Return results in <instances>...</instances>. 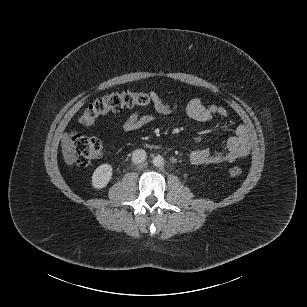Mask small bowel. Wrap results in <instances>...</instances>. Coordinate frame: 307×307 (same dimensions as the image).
Segmentation results:
<instances>
[{
  "instance_id": "obj_1",
  "label": "small bowel",
  "mask_w": 307,
  "mask_h": 307,
  "mask_svg": "<svg viewBox=\"0 0 307 307\" xmlns=\"http://www.w3.org/2000/svg\"><path fill=\"white\" fill-rule=\"evenodd\" d=\"M155 102L156 113L168 115L172 109L162 102L154 91L150 93ZM186 112L190 118L199 122L222 120L228 122L233 128V134L227 141V149L202 148L190 152L188 159L193 165H211L220 163H233L246 157L250 152V140L246 128L242 124L233 122L225 108L216 104H205L199 98L189 101ZM155 120V114H140L132 111L122 123V129L126 132L136 131L149 125Z\"/></svg>"
}]
</instances>
